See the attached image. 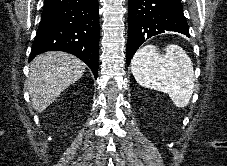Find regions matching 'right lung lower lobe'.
<instances>
[{"instance_id":"98d812e1","label":"right lung lower lobe","mask_w":227,"mask_h":166,"mask_svg":"<svg viewBox=\"0 0 227 166\" xmlns=\"http://www.w3.org/2000/svg\"><path fill=\"white\" fill-rule=\"evenodd\" d=\"M98 0H45L29 62L47 51L71 53L98 72Z\"/></svg>"}]
</instances>
